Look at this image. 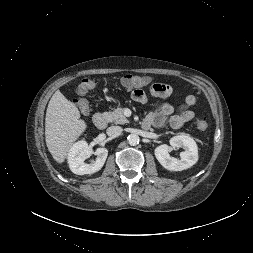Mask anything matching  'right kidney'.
Masks as SVG:
<instances>
[{"mask_svg":"<svg viewBox=\"0 0 253 253\" xmlns=\"http://www.w3.org/2000/svg\"><path fill=\"white\" fill-rule=\"evenodd\" d=\"M92 154V150L88 147L86 141H79L75 143L68 153V163L70 170L77 175L93 174L99 171L108 156V150L106 148H97L95 155L96 160L90 164H86L84 161Z\"/></svg>","mask_w":253,"mask_h":253,"instance_id":"right-kidney-1","label":"right kidney"}]
</instances>
